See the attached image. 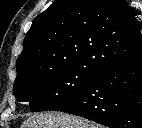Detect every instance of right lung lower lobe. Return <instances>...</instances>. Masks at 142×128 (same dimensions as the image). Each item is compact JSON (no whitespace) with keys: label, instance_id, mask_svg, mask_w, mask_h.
I'll list each match as a JSON object with an SVG mask.
<instances>
[{"label":"right lung lower lobe","instance_id":"right-lung-lower-lobe-1","mask_svg":"<svg viewBox=\"0 0 142 128\" xmlns=\"http://www.w3.org/2000/svg\"><path fill=\"white\" fill-rule=\"evenodd\" d=\"M55 111L110 128H142V54L95 75L81 94Z\"/></svg>","mask_w":142,"mask_h":128}]
</instances>
